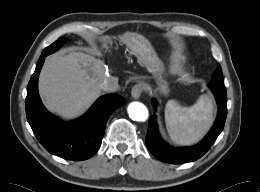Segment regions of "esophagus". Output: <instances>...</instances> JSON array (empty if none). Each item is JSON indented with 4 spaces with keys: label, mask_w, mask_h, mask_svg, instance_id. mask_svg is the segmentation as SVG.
<instances>
[{
    "label": "esophagus",
    "mask_w": 260,
    "mask_h": 192,
    "mask_svg": "<svg viewBox=\"0 0 260 192\" xmlns=\"http://www.w3.org/2000/svg\"><path fill=\"white\" fill-rule=\"evenodd\" d=\"M142 92H143V85L136 84L131 90V95L134 99H139Z\"/></svg>",
    "instance_id": "obj_1"
}]
</instances>
